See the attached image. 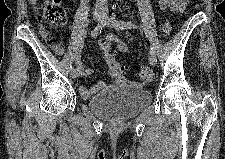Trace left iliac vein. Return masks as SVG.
Instances as JSON below:
<instances>
[{
	"mask_svg": "<svg viewBox=\"0 0 225 159\" xmlns=\"http://www.w3.org/2000/svg\"><path fill=\"white\" fill-rule=\"evenodd\" d=\"M101 24L103 26H109V27H113L117 30H124V29H130L128 26H126L125 24L122 23L121 20H117L116 18H110L107 15H104L102 20H101ZM156 56L154 53L150 52V57H149V63L151 66H155L156 65Z\"/></svg>",
	"mask_w": 225,
	"mask_h": 159,
	"instance_id": "1",
	"label": "left iliac vein"
}]
</instances>
